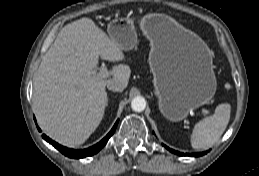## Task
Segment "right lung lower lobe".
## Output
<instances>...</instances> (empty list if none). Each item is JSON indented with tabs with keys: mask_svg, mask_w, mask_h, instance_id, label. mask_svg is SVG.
Instances as JSON below:
<instances>
[{
	"mask_svg": "<svg viewBox=\"0 0 259 176\" xmlns=\"http://www.w3.org/2000/svg\"><path fill=\"white\" fill-rule=\"evenodd\" d=\"M117 123H115V125L113 126L112 130L107 134V136L105 138H103L99 143H97L96 145L85 149V150H73V149H68L65 148L59 144H57L56 142L52 141L51 139H49L47 136L43 135V138L49 142L50 144H52L55 148H57L60 152H62L64 155L71 157V158H82L85 156H90L93 155L95 153H97L108 141V139L111 137V135L114 133Z\"/></svg>",
	"mask_w": 259,
	"mask_h": 176,
	"instance_id": "obj_1",
	"label": "right lung lower lobe"
}]
</instances>
